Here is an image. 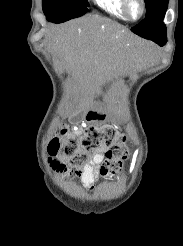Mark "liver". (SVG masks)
<instances>
[{
    "instance_id": "6515ba94",
    "label": "liver",
    "mask_w": 183,
    "mask_h": 246,
    "mask_svg": "<svg viewBox=\"0 0 183 246\" xmlns=\"http://www.w3.org/2000/svg\"><path fill=\"white\" fill-rule=\"evenodd\" d=\"M50 50L73 77L87 105L89 96L116 76L125 75L145 59L150 44L120 24L87 15L54 28L47 36Z\"/></svg>"
}]
</instances>
